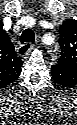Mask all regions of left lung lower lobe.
<instances>
[{
    "label": "left lung lower lobe",
    "mask_w": 77,
    "mask_h": 125,
    "mask_svg": "<svg viewBox=\"0 0 77 125\" xmlns=\"http://www.w3.org/2000/svg\"><path fill=\"white\" fill-rule=\"evenodd\" d=\"M73 68L71 66L55 64L52 66V78L57 83H63L72 75Z\"/></svg>",
    "instance_id": "0a47b994"
}]
</instances>
